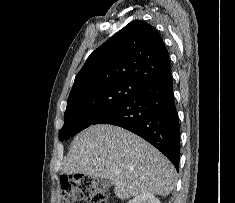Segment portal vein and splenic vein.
I'll return each instance as SVG.
<instances>
[{"label":"portal vein and splenic vein","instance_id":"18ae733b","mask_svg":"<svg viewBox=\"0 0 235 203\" xmlns=\"http://www.w3.org/2000/svg\"><path fill=\"white\" fill-rule=\"evenodd\" d=\"M115 174H116V175L119 174V171H116Z\"/></svg>","mask_w":235,"mask_h":203}]
</instances>
